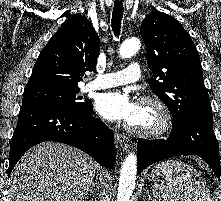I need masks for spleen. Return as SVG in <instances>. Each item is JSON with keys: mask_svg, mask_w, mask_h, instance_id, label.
I'll return each instance as SVG.
<instances>
[{"mask_svg": "<svg viewBox=\"0 0 221 201\" xmlns=\"http://www.w3.org/2000/svg\"><path fill=\"white\" fill-rule=\"evenodd\" d=\"M154 172L167 180L166 186H153V195L159 201H212L206 181L189 164L170 159L157 164Z\"/></svg>", "mask_w": 221, "mask_h": 201, "instance_id": "1", "label": "spleen"}]
</instances>
